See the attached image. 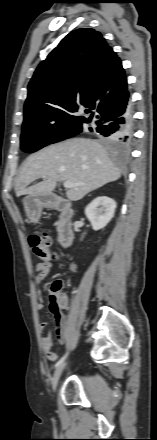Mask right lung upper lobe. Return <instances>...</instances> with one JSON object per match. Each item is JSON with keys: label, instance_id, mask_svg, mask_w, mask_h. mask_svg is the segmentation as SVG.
Instances as JSON below:
<instances>
[{"label": "right lung upper lobe", "instance_id": "obj_1", "mask_svg": "<svg viewBox=\"0 0 157 440\" xmlns=\"http://www.w3.org/2000/svg\"><path fill=\"white\" fill-rule=\"evenodd\" d=\"M121 60L103 35L91 28L70 32L37 67L28 85L24 122L82 125L83 105L96 113L128 98Z\"/></svg>", "mask_w": 157, "mask_h": 440}]
</instances>
